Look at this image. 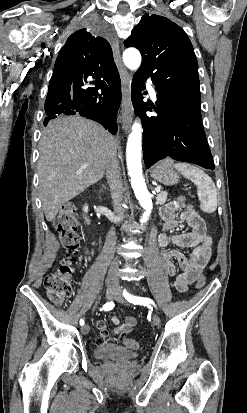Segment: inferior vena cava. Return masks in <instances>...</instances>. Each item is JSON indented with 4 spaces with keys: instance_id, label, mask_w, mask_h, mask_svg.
I'll return each mask as SVG.
<instances>
[{
    "instance_id": "602c4592",
    "label": "inferior vena cava",
    "mask_w": 247,
    "mask_h": 413,
    "mask_svg": "<svg viewBox=\"0 0 247 413\" xmlns=\"http://www.w3.org/2000/svg\"><path fill=\"white\" fill-rule=\"evenodd\" d=\"M119 142L117 138H114V144L109 152V162L106 164V176L110 186V192L113 200L114 213L118 221L123 219V211L121 207V202L123 200L122 192V180L120 174V162L117 158V146ZM118 265L116 261H113L109 271L107 281H113V283H118Z\"/></svg>"
}]
</instances>
